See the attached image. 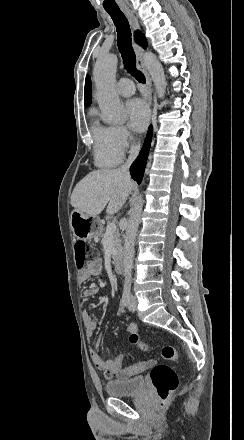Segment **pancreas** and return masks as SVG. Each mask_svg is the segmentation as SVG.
I'll use <instances>...</instances> for the list:
<instances>
[{"mask_svg":"<svg viewBox=\"0 0 244 440\" xmlns=\"http://www.w3.org/2000/svg\"><path fill=\"white\" fill-rule=\"evenodd\" d=\"M98 238H104V234H98ZM112 238H113L112 244L114 248H116V250H119V248H121L119 230H115V232H112Z\"/></svg>","mask_w":244,"mask_h":440,"instance_id":"cf45deb5","label":"pancreas"}]
</instances>
